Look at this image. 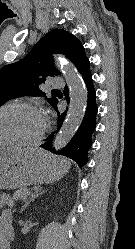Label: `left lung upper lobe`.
I'll return each mask as SVG.
<instances>
[{
  "label": "left lung upper lobe",
  "mask_w": 135,
  "mask_h": 249,
  "mask_svg": "<svg viewBox=\"0 0 135 249\" xmlns=\"http://www.w3.org/2000/svg\"><path fill=\"white\" fill-rule=\"evenodd\" d=\"M53 54H62L73 62L78 72L89 63L85 49L79 39L63 29L47 33L20 61L0 69V106L22 96H46L39 85L46 78L60 74L53 64ZM46 98L54 106L56 96Z\"/></svg>",
  "instance_id": "1"
}]
</instances>
